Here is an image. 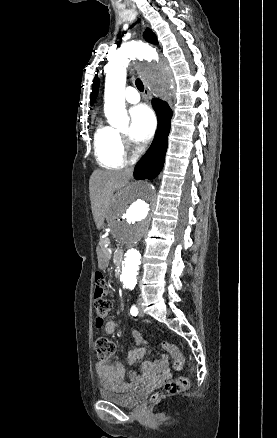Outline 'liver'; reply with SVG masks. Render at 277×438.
Masks as SVG:
<instances>
[{
  "label": "liver",
  "mask_w": 277,
  "mask_h": 438,
  "mask_svg": "<svg viewBox=\"0 0 277 438\" xmlns=\"http://www.w3.org/2000/svg\"><path fill=\"white\" fill-rule=\"evenodd\" d=\"M130 176L124 172H110V170H94L90 178V200L94 222L97 230L104 224L107 210L110 208L113 194L117 188H124L129 184ZM115 205V198L113 200Z\"/></svg>",
  "instance_id": "liver-1"
}]
</instances>
